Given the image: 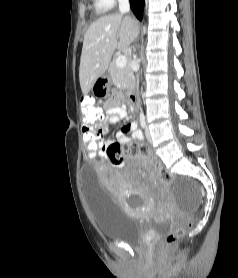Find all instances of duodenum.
Returning <instances> with one entry per match:
<instances>
[{
    "instance_id": "obj_1",
    "label": "duodenum",
    "mask_w": 238,
    "mask_h": 278,
    "mask_svg": "<svg viewBox=\"0 0 238 278\" xmlns=\"http://www.w3.org/2000/svg\"><path fill=\"white\" fill-rule=\"evenodd\" d=\"M130 103L132 106H136V94L135 93H131L130 95Z\"/></svg>"
}]
</instances>
